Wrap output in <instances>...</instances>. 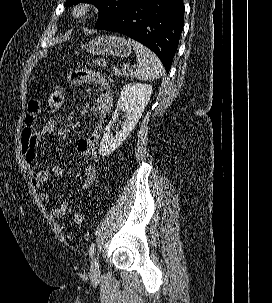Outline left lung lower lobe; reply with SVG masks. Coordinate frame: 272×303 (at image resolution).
<instances>
[{"instance_id":"obj_1","label":"left lung lower lobe","mask_w":272,"mask_h":303,"mask_svg":"<svg viewBox=\"0 0 272 303\" xmlns=\"http://www.w3.org/2000/svg\"><path fill=\"white\" fill-rule=\"evenodd\" d=\"M183 26V0H138L96 29L135 39L155 52L169 72Z\"/></svg>"}]
</instances>
